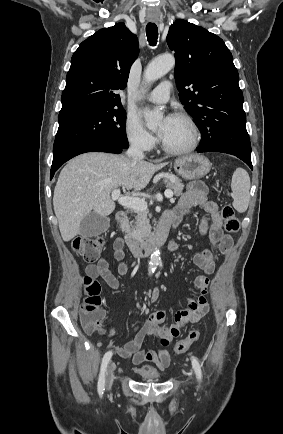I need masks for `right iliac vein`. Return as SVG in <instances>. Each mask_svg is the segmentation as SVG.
Instances as JSON below:
<instances>
[{"mask_svg": "<svg viewBox=\"0 0 283 434\" xmlns=\"http://www.w3.org/2000/svg\"><path fill=\"white\" fill-rule=\"evenodd\" d=\"M115 366L112 362L109 363L106 373V388L110 389L114 380Z\"/></svg>", "mask_w": 283, "mask_h": 434, "instance_id": "obj_1", "label": "right iliac vein"}]
</instances>
